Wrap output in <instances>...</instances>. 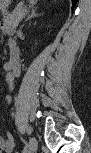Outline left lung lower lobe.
Segmentation results:
<instances>
[{"label":"left lung lower lobe","instance_id":"0a47b994","mask_svg":"<svg viewBox=\"0 0 91 153\" xmlns=\"http://www.w3.org/2000/svg\"><path fill=\"white\" fill-rule=\"evenodd\" d=\"M72 1H73V7H72V9H73L75 4L77 3V0H72Z\"/></svg>","mask_w":91,"mask_h":153}]
</instances>
